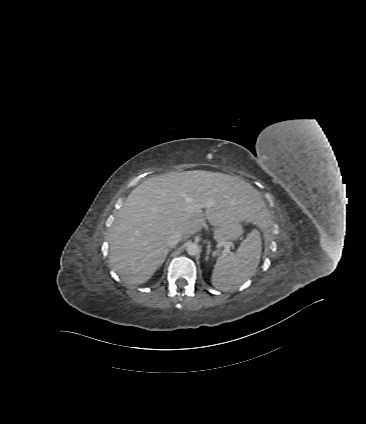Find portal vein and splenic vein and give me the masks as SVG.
<instances>
[{"instance_id":"1","label":"portal vein and splenic vein","mask_w":366,"mask_h":424,"mask_svg":"<svg viewBox=\"0 0 366 424\" xmlns=\"http://www.w3.org/2000/svg\"><path fill=\"white\" fill-rule=\"evenodd\" d=\"M208 206H209V203H201V204L195 205L194 208L202 209V208H205V207H208ZM224 252L225 253H229L230 252V246H229V244H225L224 245Z\"/></svg>"}]
</instances>
